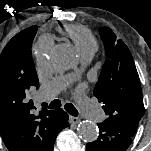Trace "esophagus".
<instances>
[{
    "label": "esophagus",
    "instance_id": "1",
    "mask_svg": "<svg viewBox=\"0 0 151 151\" xmlns=\"http://www.w3.org/2000/svg\"><path fill=\"white\" fill-rule=\"evenodd\" d=\"M79 121H80V119L78 117L70 116V118H69V122L71 124H77Z\"/></svg>",
    "mask_w": 151,
    "mask_h": 151
}]
</instances>
